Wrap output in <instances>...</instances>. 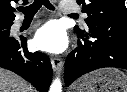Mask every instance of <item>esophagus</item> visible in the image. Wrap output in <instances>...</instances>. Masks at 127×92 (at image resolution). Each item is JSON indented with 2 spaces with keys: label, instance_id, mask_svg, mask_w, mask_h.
Returning a JSON list of instances; mask_svg holds the SVG:
<instances>
[{
  "label": "esophagus",
  "instance_id": "obj_1",
  "mask_svg": "<svg viewBox=\"0 0 127 92\" xmlns=\"http://www.w3.org/2000/svg\"><path fill=\"white\" fill-rule=\"evenodd\" d=\"M52 68L56 73H60L63 68V61L59 57H51Z\"/></svg>",
  "mask_w": 127,
  "mask_h": 92
}]
</instances>
